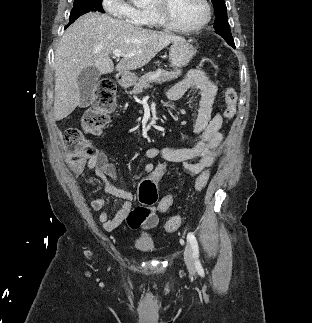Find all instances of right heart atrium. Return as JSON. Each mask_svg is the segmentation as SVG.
Instances as JSON below:
<instances>
[{"label": "right heart atrium", "instance_id": "obj_1", "mask_svg": "<svg viewBox=\"0 0 312 323\" xmlns=\"http://www.w3.org/2000/svg\"><path fill=\"white\" fill-rule=\"evenodd\" d=\"M106 13H114V17H122V22H139L142 10L131 6L129 0H103Z\"/></svg>", "mask_w": 312, "mask_h": 323}]
</instances>
